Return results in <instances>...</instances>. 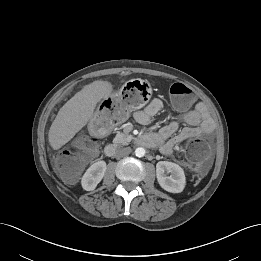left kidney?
Returning <instances> with one entry per match:
<instances>
[{"label": "left kidney", "mask_w": 261, "mask_h": 261, "mask_svg": "<svg viewBox=\"0 0 261 261\" xmlns=\"http://www.w3.org/2000/svg\"><path fill=\"white\" fill-rule=\"evenodd\" d=\"M168 174H170L168 176ZM156 176L159 185L170 193H180L186 185L183 169L176 163L159 161L156 164Z\"/></svg>", "instance_id": "left-kidney-1"}]
</instances>
